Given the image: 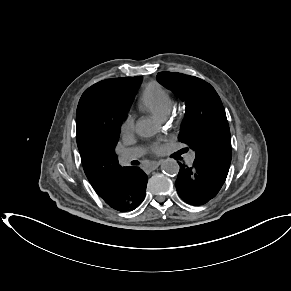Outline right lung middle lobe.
I'll return each instance as SVG.
<instances>
[{
    "instance_id": "1",
    "label": "right lung middle lobe",
    "mask_w": 291,
    "mask_h": 291,
    "mask_svg": "<svg viewBox=\"0 0 291 291\" xmlns=\"http://www.w3.org/2000/svg\"><path fill=\"white\" fill-rule=\"evenodd\" d=\"M142 80L141 76L134 77L126 94L103 89L100 94L98 115L102 125V135L105 142L114 148L120 135V126L131 107L133 97Z\"/></svg>"
}]
</instances>
